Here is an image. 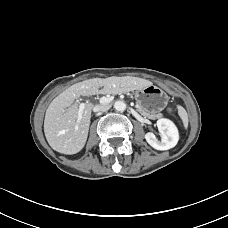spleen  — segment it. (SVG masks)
Returning a JSON list of instances; mask_svg holds the SVG:
<instances>
[{"instance_id":"3e777b00","label":"spleen","mask_w":228,"mask_h":228,"mask_svg":"<svg viewBox=\"0 0 228 228\" xmlns=\"http://www.w3.org/2000/svg\"><path fill=\"white\" fill-rule=\"evenodd\" d=\"M177 109H178V114L182 120L184 127L187 128L188 127V115H187L186 110L182 106H178Z\"/></svg>"}]
</instances>
